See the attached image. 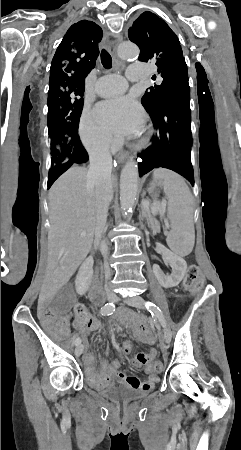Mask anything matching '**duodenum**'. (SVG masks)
Returning <instances> with one entry per match:
<instances>
[{"label":"duodenum","mask_w":241,"mask_h":450,"mask_svg":"<svg viewBox=\"0 0 241 450\" xmlns=\"http://www.w3.org/2000/svg\"><path fill=\"white\" fill-rule=\"evenodd\" d=\"M91 298L96 302H100L103 298V291L101 288V284L98 280H95L93 282L91 289Z\"/></svg>","instance_id":"1"}]
</instances>
